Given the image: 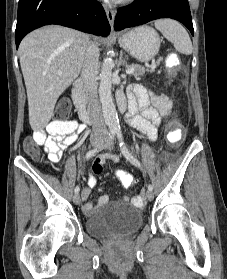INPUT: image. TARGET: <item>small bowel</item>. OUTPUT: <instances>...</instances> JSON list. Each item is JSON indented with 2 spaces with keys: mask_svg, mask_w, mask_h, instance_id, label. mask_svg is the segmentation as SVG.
<instances>
[{
  "mask_svg": "<svg viewBox=\"0 0 227 279\" xmlns=\"http://www.w3.org/2000/svg\"><path fill=\"white\" fill-rule=\"evenodd\" d=\"M120 104L125 103V98L120 94L118 96ZM129 112L127 119L129 124L143 132L149 140L154 141L158 136V127L161 119L168 116L173 107L172 99L165 94H157L139 84H133L128 93ZM84 129L83 124L69 120L67 128H61V124L53 121L45 129L36 131L32 138L39 145H43L50 162H58L63 152L74 144L78 139V133ZM105 160V157L100 159ZM97 184L95 175L88 178V187L83 188L81 192L82 199L86 201L91 193V188ZM107 195H101L94 205L87 202L83 205V211L91 214L98 206L108 202Z\"/></svg>",
  "mask_w": 227,
  "mask_h": 279,
  "instance_id": "c3829d8e",
  "label": "small bowel"
}]
</instances>
